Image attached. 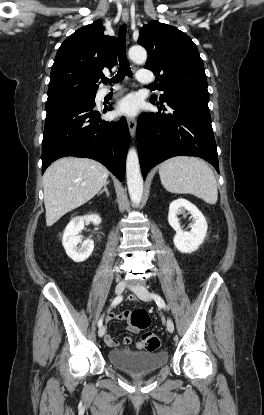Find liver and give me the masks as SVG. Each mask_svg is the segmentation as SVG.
<instances>
[{"label": "liver", "instance_id": "liver-1", "mask_svg": "<svg viewBox=\"0 0 264 415\" xmlns=\"http://www.w3.org/2000/svg\"><path fill=\"white\" fill-rule=\"evenodd\" d=\"M109 171L88 158L65 157L51 164L43 175L46 225L91 200L105 185Z\"/></svg>", "mask_w": 264, "mask_h": 415}]
</instances>
